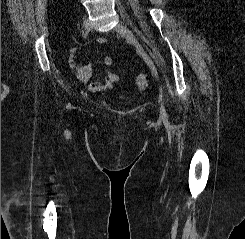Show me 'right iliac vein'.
<instances>
[{
    "instance_id": "right-iliac-vein-1",
    "label": "right iliac vein",
    "mask_w": 245,
    "mask_h": 239,
    "mask_svg": "<svg viewBox=\"0 0 245 239\" xmlns=\"http://www.w3.org/2000/svg\"><path fill=\"white\" fill-rule=\"evenodd\" d=\"M83 26L84 28L87 30V29H91V22L88 18H85L84 21H83Z\"/></svg>"
}]
</instances>
